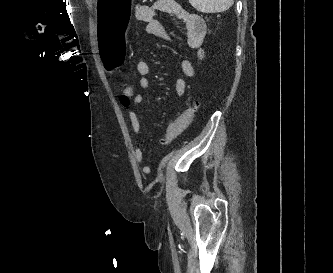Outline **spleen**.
Instances as JSON below:
<instances>
[{
    "label": "spleen",
    "instance_id": "3e777b00",
    "mask_svg": "<svg viewBox=\"0 0 333 273\" xmlns=\"http://www.w3.org/2000/svg\"><path fill=\"white\" fill-rule=\"evenodd\" d=\"M190 4L200 12L216 13L228 10L234 0H189Z\"/></svg>",
    "mask_w": 333,
    "mask_h": 273
}]
</instances>
